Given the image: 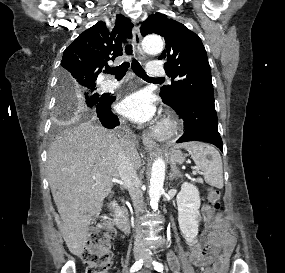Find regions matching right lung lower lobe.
I'll list each match as a JSON object with an SVG mask.
<instances>
[{
  "label": "right lung lower lobe",
  "mask_w": 285,
  "mask_h": 273,
  "mask_svg": "<svg viewBox=\"0 0 285 273\" xmlns=\"http://www.w3.org/2000/svg\"><path fill=\"white\" fill-rule=\"evenodd\" d=\"M114 98L104 97L97 106V117H99L103 126L107 128H114L119 125V120L111 111V104Z\"/></svg>",
  "instance_id": "obj_1"
}]
</instances>
